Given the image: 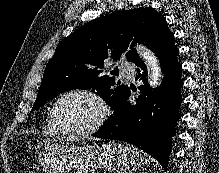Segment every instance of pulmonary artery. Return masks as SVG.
<instances>
[{"label":"pulmonary artery","mask_w":219,"mask_h":173,"mask_svg":"<svg viewBox=\"0 0 219 173\" xmlns=\"http://www.w3.org/2000/svg\"><path fill=\"white\" fill-rule=\"evenodd\" d=\"M120 70H121V73L126 78H130L134 73V67L129 62H121L120 63Z\"/></svg>","instance_id":"obj_1"}]
</instances>
